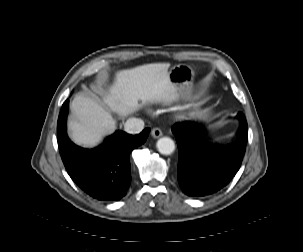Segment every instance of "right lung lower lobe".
Returning a JSON list of instances; mask_svg holds the SVG:
<instances>
[{
  "instance_id": "right-lung-lower-lobe-1",
  "label": "right lung lower lobe",
  "mask_w": 303,
  "mask_h": 252,
  "mask_svg": "<svg viewBox=\"0 0 303 252\" xmlns=\"http://www.w3.org/2000/svg\"><path fill=\"white\" fill-rule=\"evenodd\" d=\"M69 100L62 105L57 123L58 147L71 179L90 196L104 201L122 198L131 183L129 154L143 144L150 132L133 136L116 131L94 149L81 148L66 133Z\"/></svg>"
}]
</instances>
